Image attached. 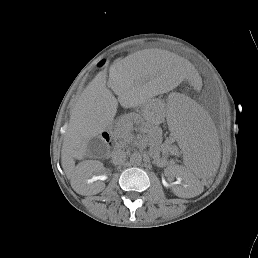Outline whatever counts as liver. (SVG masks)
I'll list each match as a JSON object with an SVG mask.
<instances>
[{"instance_id":"6515ba94","label":"liver","mask_w":258,"mask_h":258,"mask_svg":"<svg viewBox=\"0 0 258 258\" xmlns=\"http://www.w3.org/2000/svg\"><path fill=\"white\" fill-rule=\"evenodd\" d=\"M156 75H159L158 70L140 61L135 53L110 68L109 86L118 95V102L125 106L133 81L138 76ZM118 102L106 87L105 73L100 72L84 89L71 112L63 138L61 165L70 179L71 187L78 194H91L86 180L102 166L86 161L76 167L74 159L81 160L88 156V141L106 129L107 122L116 113Z\"/></svg>"}]
</instances>
